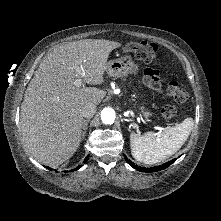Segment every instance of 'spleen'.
I'll return each mask as SVG.
<instances>
[{
	"instance_id": "1",
	"label": "spleen",
	"mask_w": 221,
	"mask_h": 221,
	"mask_svg": "<svg viewBox=\"0 0 221 221\" xmlns=\"http://www.w3.org/2000/svg\"><path fill=\"white\" fill-rule=\"evenodd\" d=\"M194 126L192 118H186L175 127H166L162 132H147L144 135L131 133L132 156L139 162L155 164L175 154L188 139Z\"/></svg>"
}]
</instances>
